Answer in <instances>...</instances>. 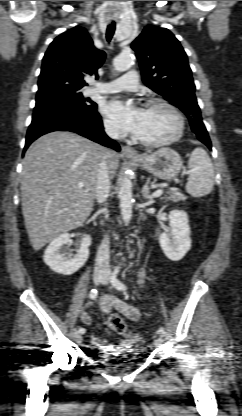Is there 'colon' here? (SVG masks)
I'll return each mask as SVG.
<instances>
[{
    "mask_svg": "<svg viewBox=\"0 0 242 416\" xmlns=\"http://www.w3.org/2000/svg\"><path fill=\"white\" fill-rule=\"evenodd\" d=\"M108 328L129 341H134L137 339L135 334H132L125 323V321L118 315H111L107 321Z\"/></svg>",
    "mask_w": 242,
    "mask_h": 416,
    "instance_id": "1",
    "label": "colon"
}]
</instances>
